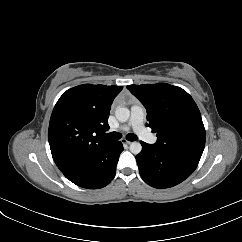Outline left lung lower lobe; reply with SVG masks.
Returning a JSON list of instances; mask_svg holds the SVG:
<instances>
[{"mask_svg":"<svg viewBox=\"0 0 242 242\" xmlns=\"http://www.w3.org/2000/svg\"><path fill=\"white\" fill-rule=\"evenodd\" d=\"M142 151L136 156L142 179L155 188L175 186L196 169L199 160L169 153L154 144L142 142Z\"/></svg>","mask_w":242,"mask_h":242,"instance_id":"0a47b994","label":"left lung lower lobe"}]
</instances>
